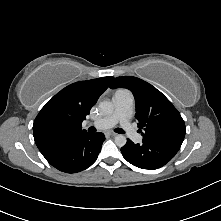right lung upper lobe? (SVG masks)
<instances>
[{
  "mask_svg": "<svg viewBox=\"0 0 221 221\" xmlns=\"http://www.w3.org/2000/svg\"><path fill=\"white\" fill-rule=\"evenodd\" d=\"M112 80L108 76L70 84L44 105L33 123L34 140L43 155L60 141L86 132L82 121Z\"/></svg>",
  "mask_w": 221,
  "mask_h": 221,
  "instance_id": "right-lung-upper-lobe-1",
  "label": "right lung upper lobe"
}]
</instances>
